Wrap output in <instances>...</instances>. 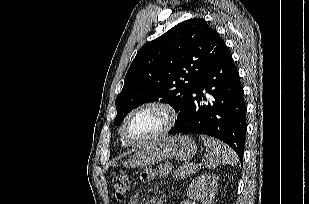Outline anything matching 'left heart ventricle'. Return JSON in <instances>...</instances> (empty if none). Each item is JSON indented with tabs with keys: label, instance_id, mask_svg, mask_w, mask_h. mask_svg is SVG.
Returning a JSON list of instances; mask_svg holds the SVG:
<instances>
[{
	"label": "left heart ventricle",
	"instance_id": "1",
	"mask_svg": "<svg viewBox=\"0 0 309 204\" xmlns=\"http://www.w3.org/2000/svg\"><path fill=\"white\" fill-rule=\"evenodd\" d=\"M165 114L155 108L141 110L134 114L126 126V134L133 141L143 140L158 132L165 124Z\"/></svg>",
	"mask_w": 309,
	"mask_h": 204
}]
</instances>
